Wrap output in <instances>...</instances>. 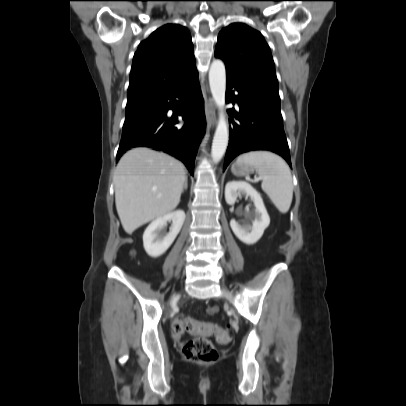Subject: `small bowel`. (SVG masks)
Wrapping results in <instances>:
<instances>
[{"label":"small bowel","mask_w":406,"mask_h":406,"mask_svg":"<svg viewBox=\"0 0 406 406\" xmlns=\"http://www.w3.org/2000/svg\"><path fill=\"white\" fill-rule=\"evenodd\" d=\"M208 312H209V313H213V312H214V309H209ZM175 338L178 339V338H179V335H178V334H175Z\"/></svg>","instance_id":"1"}]
</instances>
